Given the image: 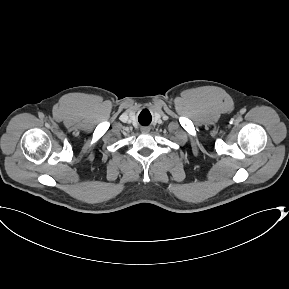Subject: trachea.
<instances>
[{
    "label": "trachea",
    "mask_w": 289,
    "mask_h": 289,
    "mask_svg": "<svg viewBox=\"0 0 289 289\" xmlns=\"http://www.w3.org/2000/svg\"><path fill=\"white\" fill-rule=\"evenodd\" d=\"M139 122H140V124H142V125H148V121H147V118L146 117H143V115H142V113L140 114V116H139Z\"/></svg>",
    "instance_id": "1"
}]
</instances>
